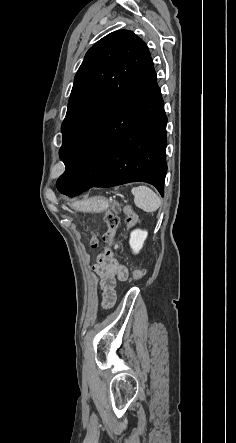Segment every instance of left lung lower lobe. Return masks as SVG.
<instances>
[{
    "instance_id": "obj_1",
    "label": "left lung lower lobe",
    "mask_w": 236,
    "mask_h": 443,
    "mask_svg": "<svg viewBox=\"0 0 236 443\" xmlns=\"http://www.w3.org/2000/svg\"><path fill=\"white\" fill-rule=\"evenodd\" d=\"M151 57L89 129L57 180L65 195L142 181L164 194L167 171L163 99Z\"/></svg>"
}]
</instances>
